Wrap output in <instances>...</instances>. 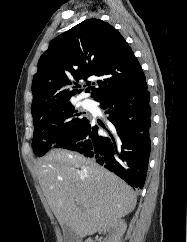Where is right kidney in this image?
<instances>
[{
	"instance_id": "obj_1",
	"label": "right kidney",
	"mask_w": 187,
	"mask_h": 242,
	"mask_svg": "<svg viewBox=\"0 0 187 242\" xmlns=\"http://www.w3.org/2000/svg\"><path fill=\"white\" fill-rule=\"evenodd\" d=\"M126 227L127 225L125 221L121 219L116 220L113 223H110L103 227V230L109 233L107 242H118V239L124 234ZM85 242H93V240L88 239Z\"/></svg>"
}]
</instances>
